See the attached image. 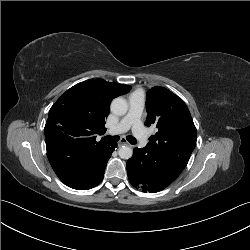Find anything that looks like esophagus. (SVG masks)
<instances>
[{"instance_id": "esophagus-1", "label": "esophagus", "mask_w": 250, "mask_h": 250, "mask_svg": "<svg viewBox=\"0 0 250 250\" xmlns=\"http://www.w3.org/2000/svg\"><path fill=\"white\" fill-rule=\"evenodd\" d=\"M130 145L125 138H121L118 142V146Z\"/></svg>"}]
</instances>
